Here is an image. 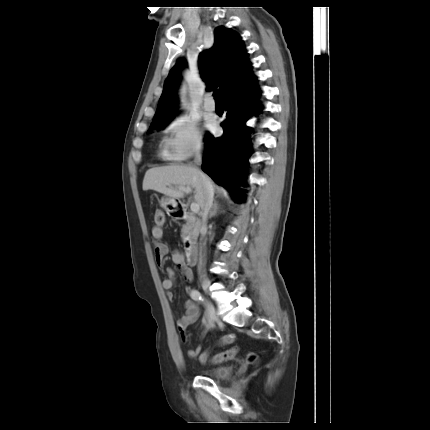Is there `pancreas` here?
<instances>
[{"instance_id": "1", "label": "pancreas", "mask_w": 430, "mask_h": 430, "mask_svg": "<svg viewBox=\"0 0 430 430\" xmlns=\"http://www.w3.org/2000/svg\"><path fill=\"white\" fill-rule=\"evenodd\" d=\"M186 224L181 229V237L183 242L194 239L199 234L200 220L197 219L193 213L185 215Z\"/></svg>"}]
</instances>
